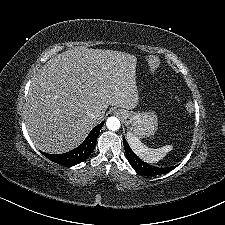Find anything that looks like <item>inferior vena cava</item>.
Segmentation results:
<instances>
[{
    "label": "inferior vena cava",
    "instance_id": "1",
    "mask_svg": "<svg viewBox=\"0 0 225 225\" xmlns=\"http://www.w3.org/2000/svg\"><path fill=\"white\" fill-rule=\"evenodd\" d=\"M87 115L91 118H96L100 115L99 110H90L87 112Z\"/></svg>",
    "mask_w": 225,
    "mask_h": 225
}]
</instances>
